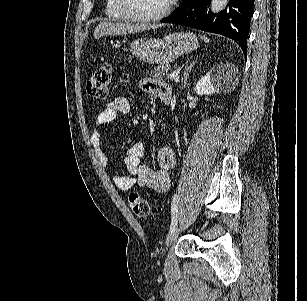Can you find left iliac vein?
<instances>
[{
    "label": "left iliac vein",
    "mask_w": 307,
    "mask_h": 301,
    "mask_svg": "<svg viewBox=\"0 0 307 301\" xmlns=\"http://www.w3.org/2000/svg\"><path fill=\"white\" fill-rule=\"evenodd\" d=\"M181 225H182V221L175 227V229L173 231H171L168 234V236L166 238V246L167 247L173 245L176 242V240L179 236V233L181 231Z\"/></svg>",
    "instance_id": "1"
}]
</instances>
